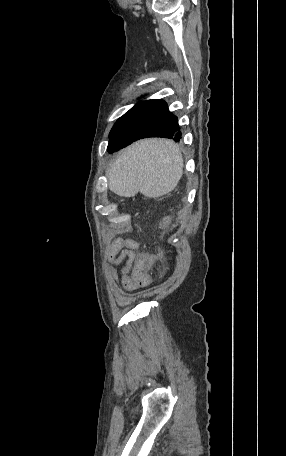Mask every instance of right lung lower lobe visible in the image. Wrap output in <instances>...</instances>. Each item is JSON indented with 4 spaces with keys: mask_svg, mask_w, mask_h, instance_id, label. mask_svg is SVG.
<instances>
[{
    "mask_svg": "<svg viewBox=\"0 0 286 456\" xmlns=\"http://www.w3.org/2000/svg\"><path fill=\"white\" fill-rule=\"evenodd\" d=\"M122 117L126 139L112 153L141 138L164 137L179 142L182 137L177 117L163 100L139 102Z\"/></svg>",
    "mask_w": 286,
    "mask_h": 456,
    "instance_id": "right-lung-lower-lobe-1",
    "label": "right lung lower lobe"
}]
</instances>
